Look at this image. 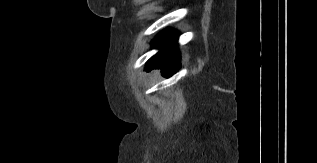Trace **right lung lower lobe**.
<instances>
[{
    "mask_svg": "<svg viewBox=\"0 0 317 163\" xmlns=\"http://www.w3.org/2000/svg\"><path fill=\"white\" fill-rule=\"evenodd\" d=\"M179 34L173 30L163 31L152 42L153 48L160 51L153 56L146 65V70L162 69L166 77L180 68V54L177 50V39Z\"/></svg>",
    "mask_w": 317,
    "mask_h": 163,
    "instance_id": "1",
    "label": "right lung lower lobe"
}]
</instances>
